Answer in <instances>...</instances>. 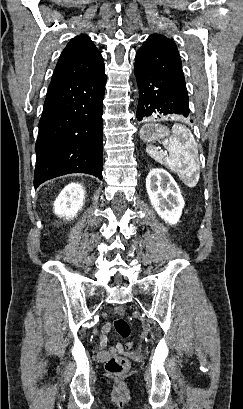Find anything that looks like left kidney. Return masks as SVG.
<instances>
[{
	"mask_svg": "<svg viewBox=\"0 0 243 409\" xmlns=\"http://www.w3.org/2000/svg\"><path fill=\"white\" fill-rule=\"evenodd\" d=\"M146 190L157 214L171 225L177 224L184 200L173 177L164 169H152L146 179Z\"/></svg>",
	"mask_w": 243,
	"mask_h": 409,
	"instance_id": "5707ae66",
	"label": "left kidney"
}]
</instances>
